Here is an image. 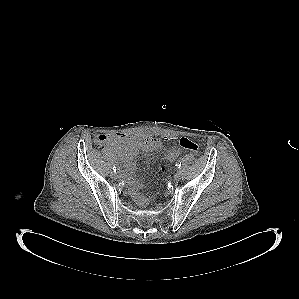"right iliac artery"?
<instances>
[{
	"mask_svg": "<svg viewBox=\"0 0 299 299\" xmlns=\"http://www.w3.org/2000/svg\"><path fill=\"white\" fill-rule=\"evenodd\" d=\"M113 171H114V172H116V171H117V169H116V167H115V166L113 167Z\"/></svg>",
	"mask_w": 299,
	"mask_h": 299,
	"instance_id": "1",
	"label": "right iliac artery"
}]
</instances>
